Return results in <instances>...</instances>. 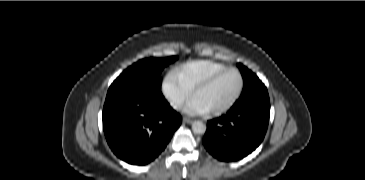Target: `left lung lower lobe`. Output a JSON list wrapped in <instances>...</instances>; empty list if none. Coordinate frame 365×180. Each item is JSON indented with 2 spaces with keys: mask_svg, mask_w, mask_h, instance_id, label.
Returning <instances> with one entry per match:
<instances>
[{
  "mask_svg": "<svg viewBox=\"0 0 365 180\" xmlns=\"http://www.w3.org/2000/svg\"><path fill=\"white\" fill-rule=\"evenodd\" d=\"M269 115L270 100L266 87L242 94L225 115L208 121L203 144L219 160H239L260 145Z\"/></svg>",
  "mask_w": 365,
  "mask_h": 180,
  "instance_id": "0a47b994",
  "label": "left lung lower lobe"
}]
</instances>
